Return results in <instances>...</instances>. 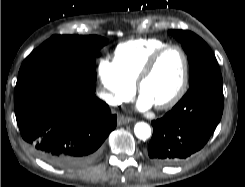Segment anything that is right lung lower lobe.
<instances>
[{"label": "right lung lower lobe", "instance_id": "1", "mask_svg": "<svg viewBox=\"0 0 245 187\" xmlns=\"http://www.w3.org/2000/svg\"><path fill=\"white\" fill-rule=\"evenodd\" d=\"M95 81L58 69L20 74L14 109L22 138L42 160L63 169L92 163L117 124L95 95Z\"/></svg>", "mask_w": 245, "mask_h": 187}]
</instances>
